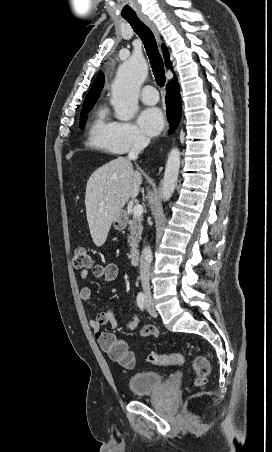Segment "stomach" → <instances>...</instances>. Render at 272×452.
I'll list each match as a JSON object with an SVG mask.
<instances>
[{
  "mask_svg": "<svg viewBox=\"0 0 272 452\" xmlns=\"http://www.w3.org/2000/svg\"><path fill=\"white\" fill-rule=\"evenodd\" d=\"M113 224L116 229H122L126 225V218L124 211H121L114 218Z\"/></svg>",
  "mask_w": 272,
  "mask_h": 452,
  "instance_id": "obj_1",
  "label": "stomach"
}]
</instances>
